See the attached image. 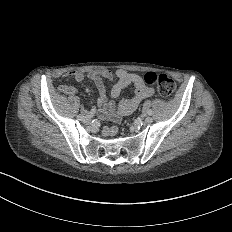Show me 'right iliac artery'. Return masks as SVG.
Masks as SVG:
<instances>
[{
    "label": "right iliac artery",
    "instance_id": "82829eb1",
    "mask_svg": "<svg viewBox=\"0 0 232 232\" xmlns=\"http://www.w3.org/2000/svg\"><path fill=\"white\" fill-rule=\"evenodd\" d=\"M91 116H92V113L89 114V117H91ZM85 118H86V117H85V116H82V115H78V116H77V119H78V120H84Z\"/></svg>",
    "mask_w": 232,
    "mask_h": 232
}]
</instances>
